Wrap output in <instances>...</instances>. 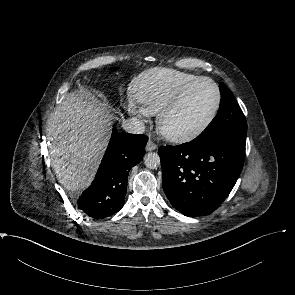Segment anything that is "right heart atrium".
I'll list each match as a JSON object with an SVG mask.
<instances>
[{"label": "right heart atrium", "instance_id": "1", "mask_svg": "<svg viewBox=\"0 0 295 295\" xmlns=\"http://www.w3.org/2000/svg\"><path fill=\"white\" fill-rule=\"evenodd\" d=\"M129 111L142 121H147L151 116V114L145 109L142 104H137L133 100L129 101Z\"/></svg>", "mask_w": 295, "mask_h": 295}]
</instances>
